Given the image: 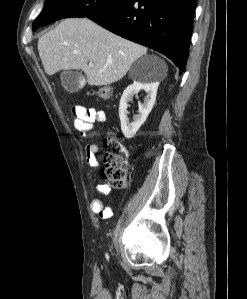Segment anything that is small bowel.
Returning a JSON list of instances; mask_svg holds the SVG:
<instances>
[{
  "instance_id": "c3829d8e",
  "label": "small bowel",
  "mask_w": 247,
  "mask_h": 299,
  "mask_svg": "<svg viewBox=\"0 0 247 299\" xmlns=\"http://www.w3.org/2000/svg\"><path fill=\"white\" fill-rule=\"evenodd\" d=\"M73 114L74 127L78 131L81 141L87 144L85 159L89 166L97 168L99 166L97 158L99 146L95 143H91L90 140L91 134L95 129V124L105 122L106 114L104 111L84 106H75L73 108ZM96 191L100 196L92 200L91 209L100 218L108 219L113 215V211L110 207L104 205L101 195H108L110 193V187L107 184L101 183L97 185Z\"/></svg>"
}]
</instances>
